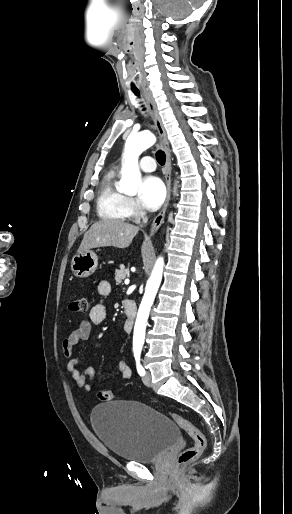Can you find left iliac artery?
Segmentation results:
<instances>
[{
    "mask_svg": "<svg viewBox=\"0 0 292 514\" xmlns=\"http://www.w3.org/2000/svg\"><path fill=\"white\" fill-rule=\"evenodd\" d=\"M134 357H135V361H136V368H137L138 374L140 376H144L145 375V370H144L143 366L140 363V353L139 352H135L134 353Z\"/></svg>",
    "mask_w": 292,
    "mask_h": 514,
    "instance_id": "44dca946",
    "label": "left iliac artery"
}]
</instances>
